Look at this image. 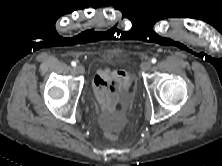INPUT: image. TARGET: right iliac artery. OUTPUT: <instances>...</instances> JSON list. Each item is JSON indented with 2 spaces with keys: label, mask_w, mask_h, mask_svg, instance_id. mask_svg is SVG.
Masks as SVG:
<instances>
[{
  "label": "right iliac artery",
  "mask_w": 222,
  "mask_h": 166,
  "mask_svg": "<svg viewBox=\"0 0 222 166\" xmlns=\"http://www.w3.org/2000/svg\"><path fill=\"white\" fill-rule=\"evenodd\" d=\"M71 65H72L73 67H75V66H76V62L72 61V62H71Z\"/></svg>",
  "instance_id": "obj_1"
}]
</instances>
